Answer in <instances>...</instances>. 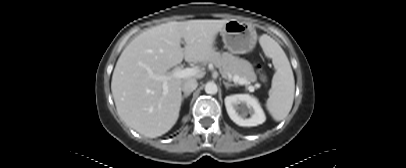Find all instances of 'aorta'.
<instances>
[{"label": "aorta", "instance_id": "1", "mask_svg": "<svg viewBox=\"0 0 406 168\" xmlns=\"http://www.w3.org/2000/svg\"><path fill=\"white\" fill-rule=\"evenodd\" d=\"M217 91H218V88H217V85L214 82H208L205 85V92L207 94H212L213 95V94H216Z\"/></svg>", "mask_w": 406, "mask_h": 168}]
</instances>
